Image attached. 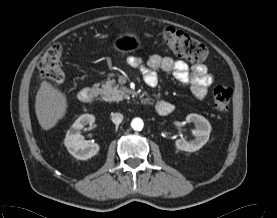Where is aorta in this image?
<instances>
[{
    "label": "aorta",
    "instance_id": "obj_1",
    "mask_svg": "<svg viewBox=\"0 0 277 218\" xmlns=\"http://www.w3.org/2000/svg\"><path fill=\"white\" fill-rule=\"evenodd\" d=\"M144 126V122L142 119L140 118H134L131 122V127L135 130V131H140L142 130Z\"/></svg>",
    "mask_w": 277,
    "mask_h": 218
}]
</instances>
